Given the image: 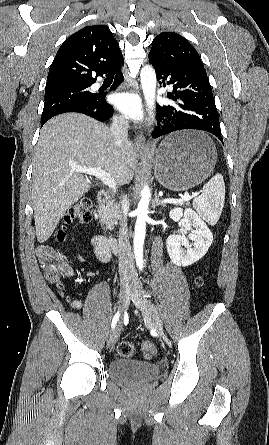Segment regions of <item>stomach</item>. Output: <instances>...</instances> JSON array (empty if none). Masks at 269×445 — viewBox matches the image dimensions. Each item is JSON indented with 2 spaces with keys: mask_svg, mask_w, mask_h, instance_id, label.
Returning <instances> with one entry per match:
<instances>
[{
  "mask_svg": "<svg viewBox=\"0 0 269 445\" xmlns=\"http://www.w3.org/2000/svg\"><path fill=\"white\" fill-rule=\"evenodd\" d=\"M217 151L199 131H178L165 137L154 160L157 181L172 191H185L204 181L213 171Z\"/></svg>",
  "mask_w": 269,
  "mask_h": 445,
  "instance_id": "0dacf381",
  "label": "stomach"
}]
</instances>
